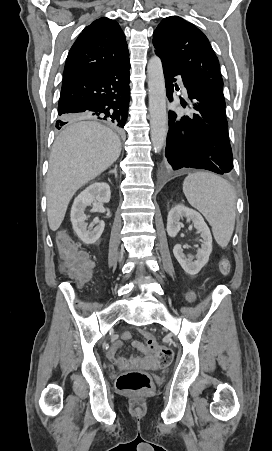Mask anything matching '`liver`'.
Returning <instances> with one entry per match:
<instances>
[{"label": "liver", "mask_w": 272, "mask_h": 451, "mask_svg": "<svg viewBox=\"0 0 272 451\" xmlns=\"http://www.w3.org/2000/svg\"><path fill=\"white\" fill-rule=\"evenodd\" d=\"M73 116L57 136L46 180L47 216L52 231L61 226L75 192L112 166L121 154L119 136L98 122Z\"/></svg>", "instance_id": "1"}]
</instances>
